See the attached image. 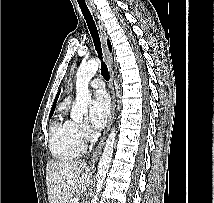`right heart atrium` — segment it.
<instances>
[{"label": "right heart atrium", "mask_w": 214, "mask_h": 203, "mask_svg": "<svg viewBox=\"0 0 214 203\" xmlns=\"http://www.w3.org/2000/svg\"><path fill=\"white\" fill-rule=\"evenodd\" d=\"M76 133L78 137L84 142L90 138L91 132L88 125L84 122L76 123Z\"/></svg>", "instance_id": "obj_1"}]
</instances>
